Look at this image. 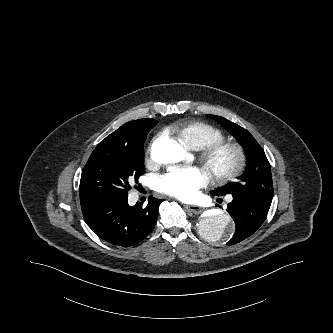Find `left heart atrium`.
<instances>
[{
    "mask_svg": "<svg viewBox=\"0 0 333 333\" xmlns=\"http://www.w3.org/2000/svg\"><path fill=\"white\" fill-rule=\"evenodd\" d=\"M208 182V176L198 167L175 168L160 176L157 189L183 201L197 196L198 190Z\"/></svg>",
    "mask_w": 333,
    "mask_h": 333,
    "instance_id": "left-heart-atrium-1",
    "label": "left heart atrium"
}]
</instances>
